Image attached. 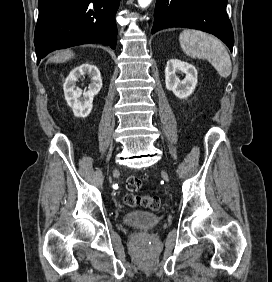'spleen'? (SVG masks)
<instances>
[{"label": "spleen", "instance_id": "3e777b00", "mask_svg": "<svg viewBox=\"0 0 272 282\" xmlns=\"http://www.w3.org/2000/svg\"><path fill=\"white\" fill-rule=\"evenodd\" d=\"M179 42L187 56L207 59L221 77H228L231 74L230 56L217 38L201 31L186 29L180 34Z\"/></svg>", "mask_w": 272, "mask_h": 282}]
</instances>
